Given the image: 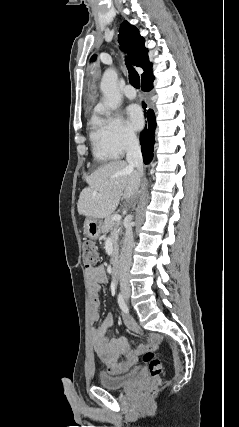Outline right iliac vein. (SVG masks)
Returning <instances> with one entry per match:
<instances>
[{"instance_id":"1","label":"right iliac vein","mask_w":239,"mask_h":427,"mask_svg":"<svg viewBox=\"0 0 239 427\" xmlns=\"http://www.w3.org/2000/svg\"><path fill=\"white\" fill-rule=\"evenodd\" d=\"M123 296L128 299L130 296V291H123Z\"/></svg>"}]
</instances>
